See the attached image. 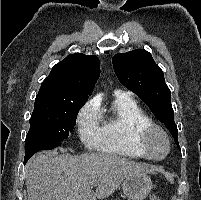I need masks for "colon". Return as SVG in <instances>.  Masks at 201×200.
Masks as SVG:
<instances>
[{
  "mask_svg": "<svg viewBox=\"0 0 201 200\" xmlns=\"http://www.w3.org/2000/svg\"><path fill=\"white\" fill-rule=\"evenodd\" d=\"M149 200H160L159 197L155 194L151 195Z\"/></svg>",
  "mask_w": 201,
  "mask_h": 200,
  "instance_id": "colon-1",
  "label": "colon"
}]
</instances>
